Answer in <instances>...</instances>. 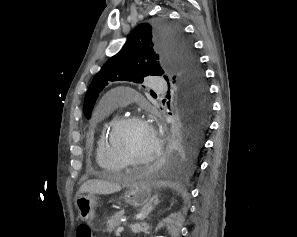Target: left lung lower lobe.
I'll use <instances>...</instances> for the list:
<instances>
[{
  "mask_svg": "<svg viewBox=\"0 0 297 237\" xmlns=\"http://www.w3.org/2000/svg\"><path fill=\"white\" fill-rule=\"evenodd\" d=\"M170 99V92L167 96ZM176 107L182 118V128L175 132L170 145L166 166L177 168L187 165L197 156L203 146L208 126L210 104L197 105L186 95L176 94Z\"/></svg>",
  "mask_w": 297,
  "mask_h": 237,
  "instance_id": "left-lung-lower-lobe-1",
  "label": "left lung lower lobe"
}]
</instances>
